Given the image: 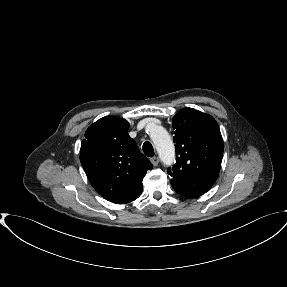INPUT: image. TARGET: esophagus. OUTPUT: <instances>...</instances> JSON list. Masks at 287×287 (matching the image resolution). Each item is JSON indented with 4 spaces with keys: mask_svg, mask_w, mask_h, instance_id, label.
Here are the masks:
<instances>
[{
    "mask_svg": "<svg viewBox=\"0 0 287 287\" xmlns=\"http://www.w3.org/2000/svg\"><path fill=\"white\" fill-rule=\"evenodd\" d=\"M150 161H151V163H152L154 166H157L158 163H159V161H160V159H159V157L155 156V157H152V158L150 159Z\"/></svg>",
    "mask_w": 287,
    "mask_h": 287,
    "instance_id": "obj_1",
    "label": "esophagus"
}]
</instances>
